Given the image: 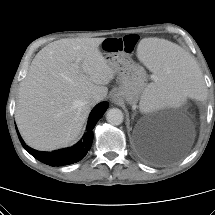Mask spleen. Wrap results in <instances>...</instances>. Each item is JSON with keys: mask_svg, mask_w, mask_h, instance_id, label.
<instances>
[{"mask_svg": "<svg viewBox=\"0 0 215 215\" xmlns=\"http://www.w3.org/2000/svg\"><path fill=\"white\" fill-rule=\"evenodd\" d=\"M138 53L153 73L154 82L143 91L140 107L152 111L164 106H180L186 98H203L205 82L189 55L163 40L143 39Z\"/></svg>", "mask_w": 215, "mask_h": 215, "instance_id": "obj_1", "label": "spleen"}]
</instances>
